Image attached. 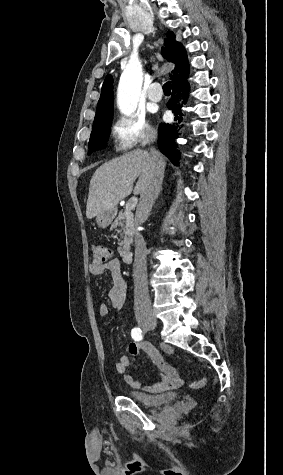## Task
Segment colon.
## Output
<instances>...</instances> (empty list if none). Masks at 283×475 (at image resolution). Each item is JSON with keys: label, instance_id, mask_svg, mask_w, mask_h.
Instances as JSON below:
<instances>
[{"label": "colon", "instance_id": "5ec220e1", "mask_svg": "<svg viewBox=\"0 0 283 475\" xmlns=\"http://www.w3.org/2000/svg\"><path fill=\"white\" fill-rule=\"evenodd\" d=\"M91 255L93 257L94 268H99L105 264H109L113 259V251L99 243L91 246Z\"/></svg>", "mask_w": 283, "mask_h": 475}]
</instances>
